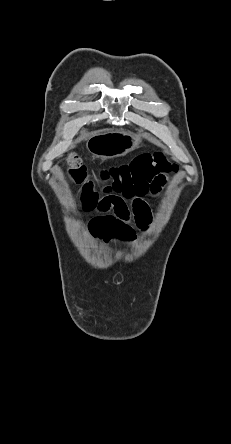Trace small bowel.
Returning a JSON list of instances; mask_svg holds the SVG:
<instances>
[{
	"mask_svg": "<svg viewBox=\"0 0 231 444\" xmlns=\"http://www.w3.org/2000/svg\"><path fill=\"white\" fill-rule=\"evenodd\" d=\"M161 184L160 180L152 182L151 191L159 189ZM83 208L87 211L97 209L102 213L89 222L88 228L92 234L104 241H109L113 237L124 241L131 240L135 237L133 223L139 229H146L152 219L149 207L144 201L141 200V207L134 210L123 198L117 196L102 200L86 198Z\"/></svg>",
	"mask_w": 231,
	"mask_h": 444,
	"instance_id": "small-bowel-1",
	"label": "small bowel"
}]
</instances>
